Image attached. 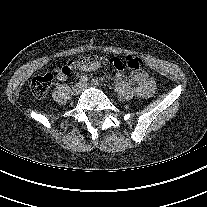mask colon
I'll use <instances>...</instances> for the list:
<instances>
[{
    "label": "colon",
    "mask_w": 207,
    "mask_h": 207,
    "mask_svg": "<svg viewBox=\"0 0 207 207\" xmlns=\"http://www.w3.org/2000/svg\"><path fill=\"white\" fill-rule=\"evenodd\" d=\"M96 60H100L102 63H107L110 61L105 58L98 59L96 56L92 55V56L82 57L77 61H71L67 65L61 67L60 69L63 72L70 73L72 67H77V65L80 63H86ZM125 64L129 70L136 73L143 72L146 69V65L143 62V60L135 56H127L125 58ZM53 79H54V75L51 72L42 73L33 77L30 83V91L32 95L36 99H43L47 95Z\"/></svg>",
    "instance_id": "1"
}]
</instances>
